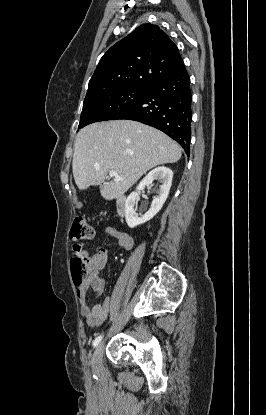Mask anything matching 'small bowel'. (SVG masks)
Returning a JSON list of instances; mask_svg holds the SVG:
<instances>
[{"label":"small bowel","instance_id":"small-bowel-1","mask_svg":"<svg viewBox=\"0 0 266 415\" xmlns=\"http://www.w3.org/2000/svg\"><path fill=\"white\" fill-rule=\"evenodd\" d=\"M105 236L114 239L119 246L129 251L133 248V238L126 232L117 230L114 227L107 226L103 229ZM80 247L78 244L73 245V250ZM107 250L100 247L97 251L89 253L86 258L88 267V277L78 286L77 296L80 302L81 314L89 326H99L107 318L111 309V298L106 297L101 304L89 305L87 301V293L92 290L99 296L105 288V282L100 276L101 270L107 263Z\"/></svg>","mask_w":266,"mask_h":415}]
</instances>
